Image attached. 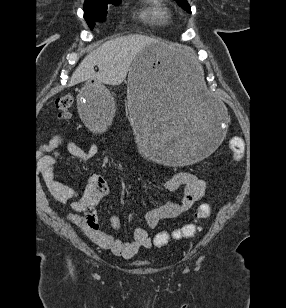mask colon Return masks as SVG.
Masks as SVG:
<instances>
[{
    "label": "colon",
    "mask_w": 286,
    "mask_h": 308,
    "mask_svg": "<svg viewBox=\"0 0 286 308\" xmlns=\"http://www.w3.org/2000/svg\"><path fill=\"white\" fill-rule=\"evenodd\" d=\"M74 102V96L72 93H66L60 96L56 100V109L61 119H66L71 111ZM229 148L232 152V157L235 161L242 159L245 152V143L240 136H233L229 141ZM211 208L208 204H202L199 206L197 216L200 218H206L210 215ZM197 232V226L195 224H187L174 232L176 239L193 237ZM170 239L167 232H160L154 237V245L156 247H164Z\"/></svg>",
    "instance_id": "colon-1"
}]
</instances>
